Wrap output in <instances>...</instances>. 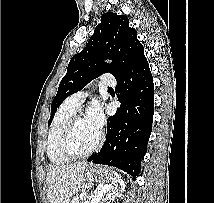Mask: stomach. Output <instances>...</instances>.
Returning <instances> with one entry per match:
<instances>
[{
	"label": "stomach",
	"instance_id": "1",
	"mask_svg": "<svg viewBox=\"0 0 214 203\" xmlns=\"http://www.w3.org/2000/svg\"><path fill=\"white\" fill-rule=\"evenodd\" d=\"M116 179L115 171L108 167L91 166L86 168L84 172V181L88 187L94 183L113 187Z\"/></svg>",
	"mask_w": 214,
	"mask_h": 203
}]
</instances>
